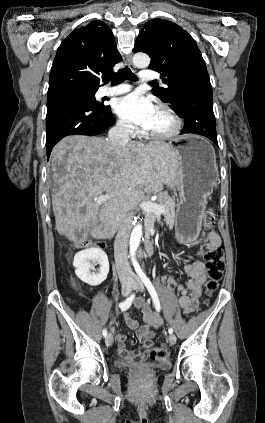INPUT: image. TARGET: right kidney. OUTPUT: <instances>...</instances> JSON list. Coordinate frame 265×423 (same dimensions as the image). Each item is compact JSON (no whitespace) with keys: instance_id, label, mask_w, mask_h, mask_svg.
Segmentation results:
<instances>
[{"instance_id":"1","label":"right kidney","mask_w":265,"mask_h":423,"mask_svg":"<svg viewBox=\"0 0 265 423\" xmlns=\"http://www.w3.org/2000/svg\"><path fill=\"white\" fill-rule=\"evenodd\" d=\"M97 262L100 265L98 273L91 272ZM77 277L91 286L100 285L106 280L109 273V261L106 253L101 248H89L78 252L73 261Z\"/></svg>"}]
</instances>
